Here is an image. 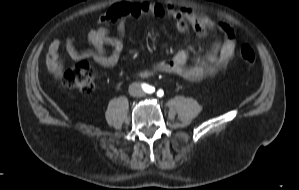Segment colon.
Returning <instances> with one entry per match:
<instances>
[{
    "instance_id": "obj_1",
    "label": "colon",
    "mask_w": 299,
    "mask_h": 190,
    "mask_svg": "<svg viewBox=\"0 0 299 190\" xmlns=\"http://www.w3.org/2000/svg\"><path fill=\"white\" fill-rule=\"evenodd\" d=\"M240 58L246 65H253L256 59L255 52L249 45L240 49ZM67 86L75 88L81 93L89 94L94 90L95 74L86 61H80L68 68L63 75Z\"/></svg>"
}]
</instances>
